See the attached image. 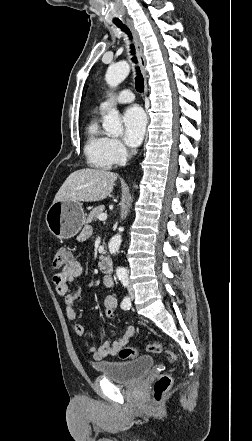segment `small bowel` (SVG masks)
<instances>
[{
    "instance_id": "1",
    "label": "small bowel",
    "mask_w": 252,
    "mask_h": 441,
    "mask_svg": "<svg viewBox=\"0 0 252 441\" xmlns=\"http://www.w3.org/2000/svg\"><path fill=\"white\" fill-rule=\"evenodd\" d=\"M89 235V230H85L81 234V239L86 238ZM82 275V266L79 260L74 257L71 259L69 264L64 267L59 273L55 274L53 277V283L58 295L64 298L65 302V313L66 317L74 322V333L76 336H83L84 328L82 325L77 323V312L75 310V303L82 296V287L76 286L72 293L68 292V283L73 282ZM103 285L107 288H112L114 286V279L111 275L106 274L103 277ZM113 305L115 308L118 306V298L115 295H108L103 300V306ZM135 328L133 326H128L124 333L113 341H105L99 346H92L87 349V354L91 356L94 360H102L110 355L117 354L134 335Z\"/></svg>"
}]
</instances>
